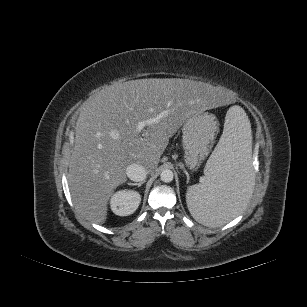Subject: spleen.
Wrapping results in <instances>:
<instances>
[{"label":"spleen","mask_w":307,"mask_h":307,"mask_svg":"<svg viewBox=\"0 0 307 307\" xmlns=\"http://www.w3.org/2000/svg\"><path fill=\"white\" fill-rule=\"evenodd\" d=\"M250 160V121L243 109L233 106L206 163L204 178L186 193L188 209L196 221L207 227H219L243 211L254 187Z\"/></svg>","instance_id":"spleen-1"}]
</instances>
